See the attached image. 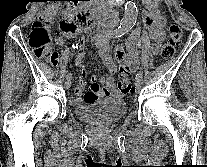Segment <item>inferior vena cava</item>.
Wrapping results in <instances>:
<instances>
[{"mask_svg": "<svg viewBox=\"0 0 207 167\" xmlns=\"http://www.w3.org/2000/svg\"><path fill=\"white\" fill-rule=\"evenodd\" d=\"M97 5V9L102 13L107 11V9L109 8L108 0H98Z\"/></svg>", "mask_w": 207, "mask_h": 167, "instance_id": "obj_1", "label": "inferior vena cava"}]
</instances>
